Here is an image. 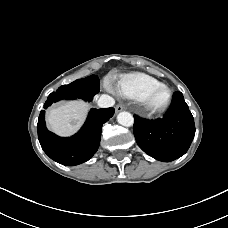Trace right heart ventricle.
<instances>
[{"label":"right heart ventricle","instance_id":"right-heart-ventricle-1","mask_svg":"<svg viewBox=\"0 0 228 228\" xmlns=\"http://www.w3.org/2000/svg\"><path fill=\"white\" fill-rule=\"evenodd\" d=\"M160 84H162L160 81L147 74L131 73L121 78L115 87V91L122 97L141 100L150 88Z\"/></svg>","mask_w":228,"mask_h":228}]
</instances>
